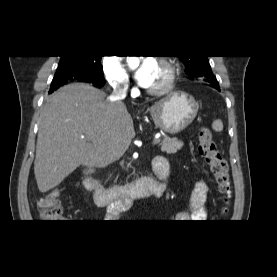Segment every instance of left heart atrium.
<instances>
[{"instance_id":"obj_1","label":"left heart atrium","mask_w":277,"mask_h":277,"mask_svg":"<svg viewBox=\"0 0 277 277\" xmlns=\"http://www.w3.org/2000/svg\"><path fill=\"white\" fill-rule=\"evenodd\" d=\"M157 62L154 59L147 58L139 66L135 77L139 85L148 88L151 86Z\"/></svg>"}]
</instances>
